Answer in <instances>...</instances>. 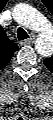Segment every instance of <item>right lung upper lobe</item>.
I'll use <instances>...</instances> for the list:
<instances>
[{"label": "right lung upper lobe", "mask_w": 53, "mask_h": 120, "mask_svg": "<svg viewBox=\"0 0 53 120\" xmlns=\"http://www.w3.org/2000/svg\"><path fill=\"white\" fill-rule=\"evenodd\" d=\"M0 39V65L5 67L13 56L15 51H18V46L14 42L8 39L5 32Z\"/></svg>", "instance_id": "obj_1"}]
</instances>
